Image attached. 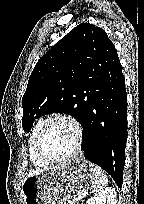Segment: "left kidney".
<instances>
[{"mask_svg":"<svg viewBox=\"0 0 144 204\" xmlns=\"http://www.w3.org/2000/svg\"><path fill=\"white\" fill-rule=\"evenodd\" d=\"M116 191L112 187H107L98 195L87 201L86 204H116Z\"/></svg>","mask_w":144,"mask_h":204,"instance_id":"1","label":"left kidney"}]
</instances>
